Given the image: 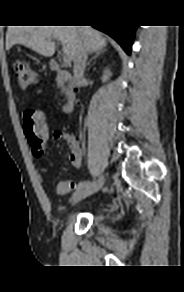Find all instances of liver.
Wrapping results in <instances>:
<instances>
[{
	"label": "liver",
	"instance_id": "1",
	"mask_svg": "<svg viewBox=\"0 0 184 292\" xmlns=\"http://www.w3.org/2000/svg\"><path fill=\"white\" fill-rule=\"evenodd\" d=\"M54 40H60L62 50L73 61L83 43L89 53L106 45L102 34L90 26H11L6 34V49L22 44L35 52L51 57L55 53Z\"/></svg>",
	"mask_w": 184,
	"mask_h": 292
}]
</instances>
